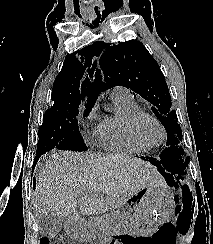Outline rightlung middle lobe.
Listing matches in <instances>:
<instances>
[{"label":"right lung middle lobe","mask_w":213,"mask_h":244,"mask_svg":"<svg viewBox=\"0 0 213 244\" xmlns=\"http://www.w3.org/2000/svg\"><path fill=\"white\" fill-rule=\"evenodd\" d=\"M91 107L85 106L87 115ZM79 105L52 106L43 116V124L39 129L37 154H44L57 149L86 151L83 138L79 132L77 116Z\"/></svg>","instance_id":"dd1d6c3e"}]
</instances>
